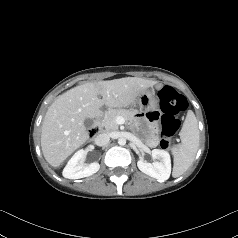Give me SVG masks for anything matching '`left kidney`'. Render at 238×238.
Wrapping results in <instances>:
<instances>
[{"label":"left kidney","mask_w":238,"mask_h":238,"mask_svg":"<svg viewBox=\"0 0 238 238\" xmlns=\"http://www.w3.org/2000/svg\"><path fill=\"white\" fill-rule=\"evenodd\" d=\"M153 163H148L143 159L138 160L137 166L143 173L159 180L165 181L171 174V159L170 155L165 150H152Z\"/></svg>","instance_id":"left-kidney-1"}]
</instances>
